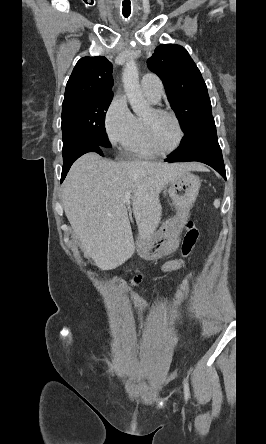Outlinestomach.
Masks as SVG:
<instances>
[{"label": "stomach", "instance_id": "0dacf381", "mask_svg": "<svg viewBox=\"0 0 266 444\" xmlns=\"http://www.w3.org/2000/svg\"><path fill=\"white\" fill-rule=\"evenodd\" d=\"M201 181L198 176L185 173L170 183L168 193L176 209V215L164 223L150 238L142 241V256L146 259H155L164 254L172 237L177 234L199 193Z\"/></svg>", "mask_w": 266, "mask_h": 444}]
</instances>
